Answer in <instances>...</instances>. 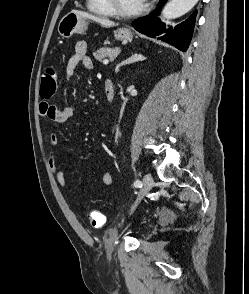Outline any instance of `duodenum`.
<instances>
[{"label":"duodenum","mask_w":249,"mask_h":294,"mask_svg":"<svg viewBox=\"0 0 249 294\" xmlns=\"http://www.w3.org/2000/svg\"><path fill=\"white\" fill-rule=\"evenodd\" d=\"M106 104L109 105L114 97V86L111 81L105 82Z\"/></svg>","instance_id":"1"}]
</instances>
